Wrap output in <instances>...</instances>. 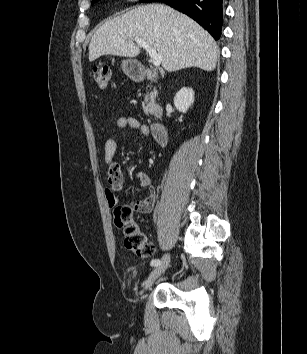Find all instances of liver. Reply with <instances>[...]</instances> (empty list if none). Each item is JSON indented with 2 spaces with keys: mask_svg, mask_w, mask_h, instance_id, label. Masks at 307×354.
Masks as SVG:
<instances>
[{
  "mask_svg": "<svg viewBox=\"0 0 307 354\" xmlns=\"http://www.w3.org/2000/svg\"><path fill=\"white\" fill-rule=\"evenodd\" d=\"M142 38L161 55L162 67L173 72L188 67L212 71L219 49L213 37L195 21L162 4L140 5L105 22L89 44V61L103 55L136 57Z\"/></svg>",
  "mask_w": 307,
  "mask_h": 354,
  "instance_id": "obj_1",
  "label": "liver"
}]
</instances>
